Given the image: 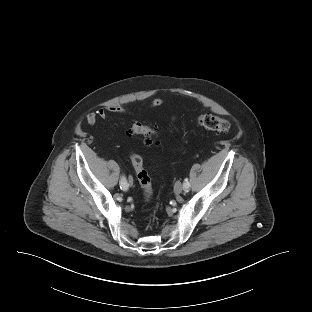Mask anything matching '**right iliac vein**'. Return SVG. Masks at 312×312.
Returning a JSON list of instances; mask_svg holds the SVG:
<instances>
[{"mask_svg": "<svg viewBox=\"0 0 312 312\" xmlns=\"http://www.w3.org/2000/svg\"><path fill=\"white\" fill-rule=\"evenodd\" d=\"M132 178L131 177H129V184L131 185L132 184Z\"/></svg>", "mask_w": 312, "mask_h": 312, "instance_id": "obj_1", "label": "right iliac vein"}]
</instances>
